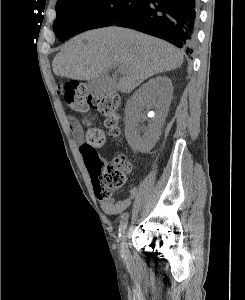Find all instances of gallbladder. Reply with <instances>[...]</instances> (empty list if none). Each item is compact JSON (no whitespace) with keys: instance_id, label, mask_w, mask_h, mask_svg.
<instances>
[{"instance_id":"1","label":"gallbladder","mask_w":245,"mask_h":300,"mask_svg":"<svg viewBox=\"0 0 245 300\" xmlns=\"http://www.w3.org/2000/svg\"><path fill=\"white\" fill-rule=\"evenodd\" d=\"M116 85V80L112 79L106 74H102L99 77L87 82V90L92 96L101 98L110 91L114 90Z\"/></svg>"}]
</instances>
